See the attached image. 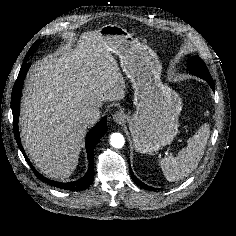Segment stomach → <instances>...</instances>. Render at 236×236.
I'll return each instance as SVG.
<instances>
[{
	"instance_id": "stomach-1",
	"label": "stomach",
	"mask_w": 236,
	"mask_h": 236,
	"mask_svg": "<svg viewBox=\"0 0 236 236\" xmlns=\"http://www.w3.org/2000/svg\"><path fill=\"white\" fill-rule=\"evenodd\" d=\"M99 32L109 51L119 57L135 90L136 110L127 117L135 150L152 153L170 144L178 132L182 100L161 82L157 54L118 25H104Z\"/></svg>"
}]
</instances>
